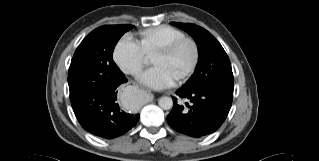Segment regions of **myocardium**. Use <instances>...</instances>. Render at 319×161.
<instances>
[{
  "label": "myocardium",
  "instance_id": "obj_1",
  "mask_svg": "<svg viewBox=\"0 0 319 161\" xmlns=\"http://www.w3.org/2000/svg\"><path fill=\"white\" fill-rule=\"evenodd\" d=\"M185 44H188L191 46L193 55H192V60L189 66L187 67V69L180 76L176 78V81L178 82L184 81L187 78H189L194 73V71L196 70L198 66L199 59H200V50H199V46L197 42L193 38L182 37L164 45L155 53V55H159L161 57H168L172 55L173 53H175L181 46Z\"/></svg>",
  "mask_w": 319,
  "mask_h": 161
}]
</instances>
